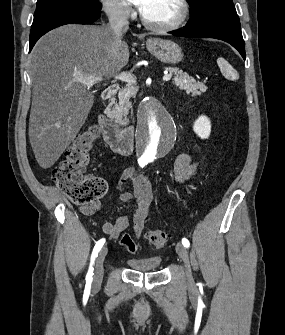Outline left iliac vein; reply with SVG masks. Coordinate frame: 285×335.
<instances>
[{
  "instance_id": "obj_1",
  "label": "left iliac vein",
  "mask_w": 285,
  "mask_h": 335,
  "mask_svg": "<svg viewBox=\"0 0 285 335\" xmlns=\"http://www.w3.org/2000/svg\"><path fill=\"white\" fill-rule=\"evenodd\" d=\"M176 251L178 255L181 257L183 260L184 266H185V275H186V280L188 284H192L194 282L193 280V274L190 266V261H189V255L186 247L182 245L181 243L176 244Z\"/></svg>"
}]
</instances>
